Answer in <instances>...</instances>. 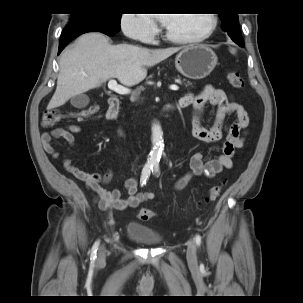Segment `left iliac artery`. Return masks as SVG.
<instances>
[{"instance_id":"1","label":"left iliac artery","mask_w":303,"mask_h":303,"mask_svg":"<svg viewBox=\"0 0 303 303\" xmlns=\"http://www.w3.org/2000/svg\"><path fill=\"white\" fill-rule=\"evenodd\" d=\"M152 171H153L156 175H158V174H159V168H158V166H154V168L152 169ZM195 241H196L197 246H200V244H201V236H200L199 234H197V235L195 236Z\"/></svg>"}]
</instances>
